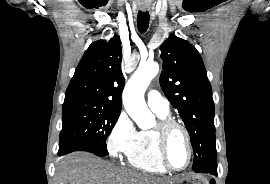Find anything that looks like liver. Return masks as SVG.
Instances as JSON below:
<instances>
[{"label":"liver","mask_w":270,"mask_h":184,"mask_svg":"<svg viewBox=\"0 0 270 184\" xmlns=\"http://www.w3.org/2000/svg\"><path fill=\"white\" fill-rule=\"evenodd\" d=\"M54 184H168L160 178L136 173L90 153L74 152L57 163Z\"/></svg>","instance_id":"obj_1"}]
</instances>
